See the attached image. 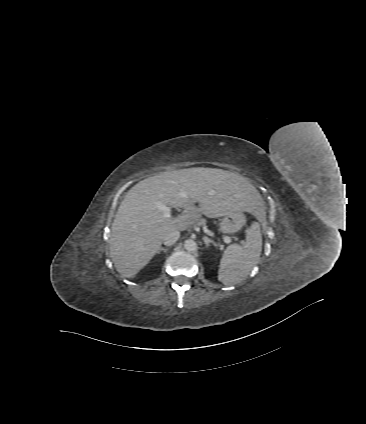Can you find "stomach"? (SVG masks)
Wrapping results in <instances>:
<instances>
[{"instance_id":"obj_1","label":"stomach","mask_w":366,"mask_h":424,"mask_svg":"<svg viewBox=\"0 0 366 424\" xmlns=\"http://www.w3.org/2000/svg\"><path fill=\"white\" fill-rule=\"evenodd\" d=\"M245 222L242 212H235L223 216L220 222L219 231L223 234H230L240 230Z\"/></svg>"}]
</instances>
